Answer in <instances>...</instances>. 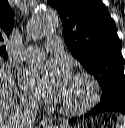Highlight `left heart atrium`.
<instances>
[{
    "label": "left heart atrium",
    "instance_id": "39dd6f15",
    "mask_svg": "<svg viewBox=\"0 0 125 128\" xmlns=\"http://www.w3.org/2000/svg\"><path fill=\"white\" fill-rule=\"evenodd\" d=\"M69 68L63 62L35 64L20 75L22 89L44 103H61L72 82Z\"/></svg>",
    "mask_w": 125,
    "mask_h": 128
}]
</instances>
